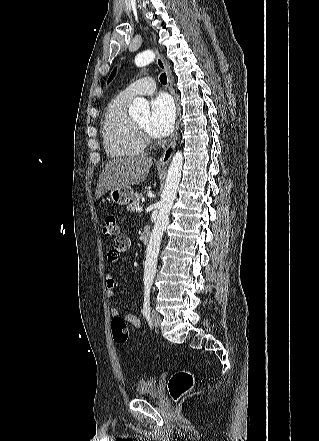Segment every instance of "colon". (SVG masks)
I'll list each match as a JSON object with an SVG mask.
<instances>
[{
    "instance_id": "colon-1",
    "label": "colon",
    "mask_w": 319,
    "mask_h": 441,
    "mask_svg": "<svg viewBox=\"0 0 319 441\" xmlns=\"http://www.w3.org/2000/svg\"><path fill=\"white\" fill-rule=\"evenodd\" d=\"M105 237H117L120 233V226L114 215L105 218L102 229ZM111 331L114 341L117 344H125L128 340V328L126 320L122 317H114L111 322ZM194 385V375L190 370H179L175 372L168 381V390L175 401L183 398Z\"/></svg>"
}]
</instances>
